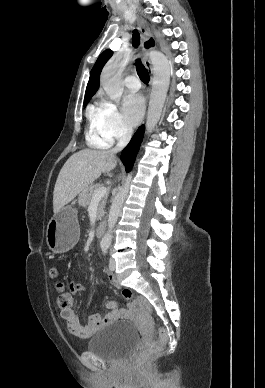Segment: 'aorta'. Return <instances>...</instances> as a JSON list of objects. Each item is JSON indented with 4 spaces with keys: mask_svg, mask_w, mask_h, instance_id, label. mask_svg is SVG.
<instances>
[{
    "mask_svg": "<svg viewBox=\"0 0 265 388\" xmlns=\"http://www.w3.org/2000/svg\"><path fill=\"white\" fill-rule=\"evenodd\" d=\"M147 55L153 65L152 90L146 121V131L150 133L156 127L164 107L170 84V63L167 57L161 52L151 51ZM127 62L128 55L117 54L106 64L101 74V85L103 89L108 97L116 102H119L123 93L121 75ZM131 180L132 175L129 174L125 184L113 199L108 215V229L101 241V244L104 246L111 245L113 229L120 214L122 204L128 194Z\"/></svg>",
    "mask_w": 265,
    "mask_h": 388,
    "instance_id": "obj_1",
    "label": "aorta"
}]
</instances>
